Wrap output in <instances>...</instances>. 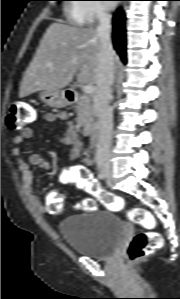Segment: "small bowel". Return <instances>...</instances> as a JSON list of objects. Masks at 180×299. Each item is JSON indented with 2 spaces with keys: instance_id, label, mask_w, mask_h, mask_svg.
Segmentation results:
<instances>
[{
  "instance_id": "obj_1",
  "label": "small bowel",
  "mask_w": 180,
  "mask_h": 299,
  "mask_svg": "<svg viewBox=\"0 0 180 299\" xmlns=\"http://www.w3.org/2000/svg\"><path fill=\"white\" fill-rule=\"evenodd\" d=\"M45 121L48 123L61 122L64 126V135L62 142L66 145L71 146L70 154L67 159L68 163H73L78 160L81 156L85 164H89L91 159L89 157V151L85 149L82 141L80 140V135L77 131L75 123L69 119L65 112L58 113H46ZM35 129L31 126L25 127L21 134L16 135L13 138V143L15 147L13 148V155L18 160V168L22 174V185L26 192L30 203L39 211L43 212L45 210L44 205L40 202L38 195L34 190L33 185V175L31 171V166H36L41 169L48 170L51 168V163L44 156L38 153L31 154L28 160L23 159V151L20 145L24 140L30 139L34 136ZM85 165H72L69 166L65 173L60 177V182L65 185L76 184V179L79 175L85 172Z\"/></svg>"
}]
</instances>
